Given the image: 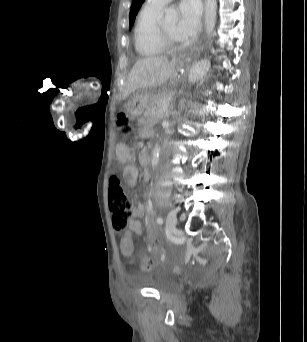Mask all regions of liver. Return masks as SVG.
<instances>
[{"instance_id":"liver-1","label":"liver","mask_w":307,"mask_h":342,"mask_svg":"<svg viewBox=\"0 0 307 342\" xmlns=\"http://www.w3.org/2000/svg\"><path fill=\"white\" fill-rule=\"evenodd\" d=\"M176 62L175 56H172V60H168L166 56H149V58L137 60L127 76L125 88L121 94L122 100L141 88H158L166 84L175 70Z\"/></svg>"}]
</instances>
